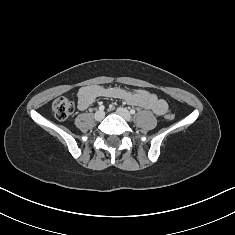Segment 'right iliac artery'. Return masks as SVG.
I'll use <instances>...</instances> for the list:
<instances>
[{
	"instance_id": "right-iliac-artery-1",
	"label": "right iliac artery",
	"mask_w": 235,
	"mask_h": 235,
	"mask_svg": "<svg viewBox=\"0 0 235 235\" xmlns=\"http://www.w3.org/2000/svg\"><path fill=\"white\" fill-rule=\"evenodd\" d=\"M104 108H105V107H104L103 105H100V106H99V110H101V111H103Z\"/></svg>"
}]
</instances>
